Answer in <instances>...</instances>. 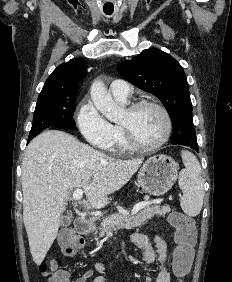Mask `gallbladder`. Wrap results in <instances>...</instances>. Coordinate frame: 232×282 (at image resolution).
<instances>
[{
  "instance_id": "obj_1",
  "label": "gallbladder",
  "mask_w": 232,
  "mask_h": 282,
  "mask_svg": "<svg viewBox=\"0 0 232 282\" xmlns=\"http://www.w3.org/2000/svg\"><path fill=\"white\" fill-rule=\"evenodd\" d=\"M72 217L71 213L68 212L66 215H62L60 218V223L63 226L69 225L71 223Z\"/></svg>"
}]
</instances>
